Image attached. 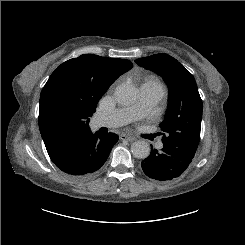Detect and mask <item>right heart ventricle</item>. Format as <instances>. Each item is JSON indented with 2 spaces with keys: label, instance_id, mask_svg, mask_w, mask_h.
<instances>
[{
  "label": "right heart ventricle",
  "instance_id": "e07e8e85",
  "mask_svg": "<svg viewBox=\"0 0 245 245\" xmlns=\"http://www.w3.org/2000/svg\"><path fill=\"white\" fill-rule=\"evenodd\" d=\"M141 86L165 91L162 82L154 75L147 76Z\"/></svg>",
  "mask_w": 245,
  "mask_h": 245
}]
</instances>
